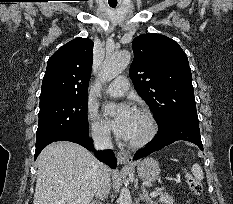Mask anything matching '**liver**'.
<instances>
[{
	"instance_id": "liver-1",
	"label": "liver",
	"mask_w": 233,
	"mask_h": 204,
	"mask_svg": "<svg viewBox=\"0 0 233 204\" xmlns=\"http://www.w3.org/2000/svg\"><path fill=\"white\" fill-rule=\"evenodd\" d=\"M33 204H90L109 169L82 146L59 141L37 159Z\"/></svg>"
}]
</instances>
